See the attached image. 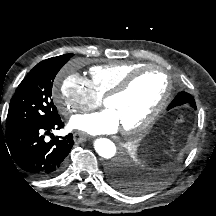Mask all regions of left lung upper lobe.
<instances>
[{
	"instance_id": "obj_1",
	"label": "left lung upper lobe",
	"mask_w": 216,
	"mask_h": 216,
	"mask_svg": "<svg viewBox=\"0 0 216 216\" xmlns=\"http://www.w3.org/2000/svg\"><path fill=\"white\" fill-rule=\"evenodd\" d=\"M182 94H185L186 96L189 97V98L187 99V102H186L185 104L188 103V104H190L191 107L196 108V104H195L194 98H193L190 94H188V93H186V92H183ZM133 192H135V190H133V191L130 192V193H133Z\"/></svg>"
}]
</instances>
